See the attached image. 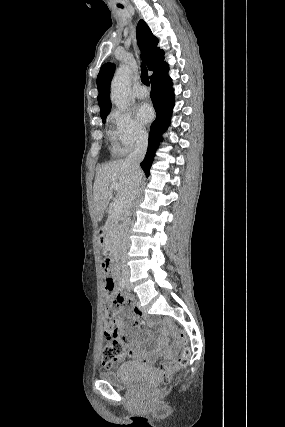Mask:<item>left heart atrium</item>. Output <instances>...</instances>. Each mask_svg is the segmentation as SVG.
<instances>
[{"instance_id": "1", "label": "left heart atrium", "mask_w": 285, "mask_h": 427, "mask_svg": "<svg viewBox=\"0 0 285 427\" xmlns=\"http://www.w3.org/2000/svg\"><path fill=\"white\" fill-rule=\"evenodd\" d=\"M137 119L141 123H149L153 118V110L148 103H141L136 111Z\"/></svg>"}]
</instances>
